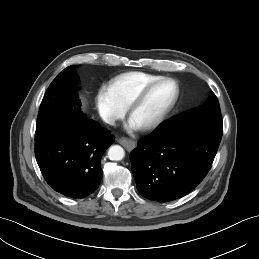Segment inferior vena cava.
I'll use <instances>...</instances> for the list:
<instances>
[{
	"label": "inferior vena cava",
	"instance_id": "inferior-vena-cava-1",
	"mask_svg": "<svg viewBox=\"0 0 259 259\" xmlns=\"http://www.w3.org/2000/svg\"><path fill=\"white\" fill-rule=\"evenodd\" d=\"M106 123L110 125H115V118H112V117L107 118Z\"/></svg>",
	"mask_w": 259,
	"mask_h": 259
}]
</instances>
